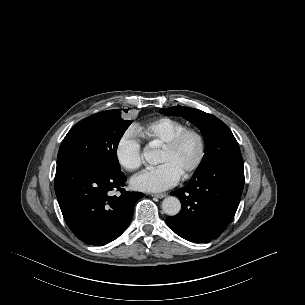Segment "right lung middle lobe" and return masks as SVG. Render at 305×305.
Returning <instances> with one entry per match:
<instances>
[{"label": "right lung middle lobe", "mask_w": 305, "mask_h": 305, "mask_svg": "<svg viewBox=\"0 0 305 305\" xmlns=\"http://www.w3.org/2000/svg\"><path fill=\"white\" fill-rule=\"evenodd\" d=\"M131 123L120 117L119 110L103 111L83 119L62 141L56 169L86 167L106 172L121 171L117 147Z\"/></svg>", "instance_id": "dd1d6c3e"}]
</instances>
